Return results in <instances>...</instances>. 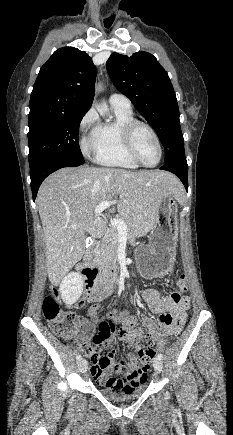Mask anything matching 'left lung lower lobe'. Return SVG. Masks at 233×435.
Masks as SVG:
<instances>
[{
    "label": "left lung lower lobe",
    "instance_id": "0a47b994",
    "mask_svg": "<svg viewBox=\"0 0 233 435\" xmlns=\"http://www.w3.org/2000/svg\"><path fill=\"white\" fill-rule=\"evenodd\" d=\"M160 169L174 173L182 181L186 190H188V165L185 155L178 156L174 160L165 163V165H163Z\"/></svg>",
    "mask_w": 233,
    "mask_h": 435
}]
</instances>
